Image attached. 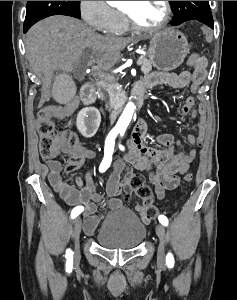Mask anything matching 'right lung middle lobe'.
Listing matches in <instances>:
<instances>
[{"instance_id":"dd1d6c3e","label":"right lung middle lobe","mask_w":237,"mask_h":300,"mask_svg":"<svg viewBox=\"0 0 237 300\" xmlns=\"http://www.w3.org/2000/svg\"><path fill=\"white\" fill-rule=\"evenodd\" d=\"M52 15L80 18L78 1H28L24 25H33L37 21Z\"/></svg>"}]
</instances>
